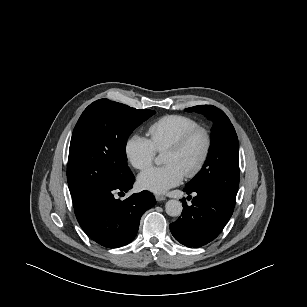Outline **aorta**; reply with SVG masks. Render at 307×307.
<instances>
[{"instance_id": "obj_1", "label": "aorta", "mask_w": 307, "mask_h": 307, "mask_svg": "<svg viewBox=\"0 0 307 307\" xmlns=\"http://www.w3.org/2000/svg\"><path fill=\"white\" fill-rule=\"evenodd\" d=\"M156 162H158V160ZM165 210L169 216H180L183 210L182 203L175 199L168 200L165 204Z\"/></svg>"}]
</instances>
